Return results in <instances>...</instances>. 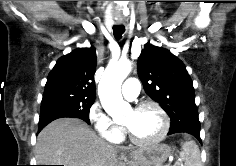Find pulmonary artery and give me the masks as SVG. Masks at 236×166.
Instances as JSON below:
<instances>
[{
	"label": "pulmonary artery",
	"instance_id": "pulmonary-artery-1",
	"mask_svg": "<svg viewBox=\"0 0 236 166\" xmlns=\"http://www.w3.org/2000/svg\"><path fill=\"white\" fill-rule=\"evenodd\" d=\"M140 90V82L137 78H129L122 87V95L128 100H134Z\"/></svg>",
	"mask_w": 236,
	"mask_h": 166
}]
</instances>
